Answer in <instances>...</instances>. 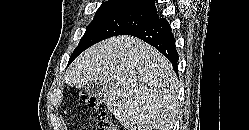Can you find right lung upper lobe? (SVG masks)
Listing matches in <instances>:
<instances>
[{"instance_id": "right-lung-upper-lobe-1", "label": "right lung upper lobe", "mask_w": 249, "mask_h": 130, "mask_svg": "<svg viewBox=\"0 0 249 130\" xmlns=\"http://www.w3.org/2000/svg\"><path fill=\"white\" fill-rule=\"evenodd\" d=\"M112 4V5H120V6H131L137 7L143 10L157 12L155 7L154 0H109L102 5Z\"/></svg>"}]
</instances>
